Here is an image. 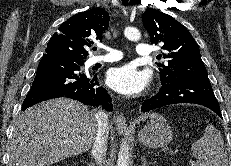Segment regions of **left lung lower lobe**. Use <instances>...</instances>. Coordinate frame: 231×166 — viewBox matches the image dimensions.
Segmentation results:
<instances>
[{
    "label": "left lung lower lobe",
    "mask_w": 231,
    "mask_h": 166,
    "mask_svg": "<svg viewBox=\"0 0 231 166\" xmlns=\"http://www.w3.org/2000/svg\"><path fill=\"white\" fill-rule=\"evenodd\" d=\"M161 84L158 93L142 104L141 112L170 104L193 103L203 105L222 117L209 79L178 77Z\"/></svg>",
    "instance_id": "obj_1"
}]
</instances>
